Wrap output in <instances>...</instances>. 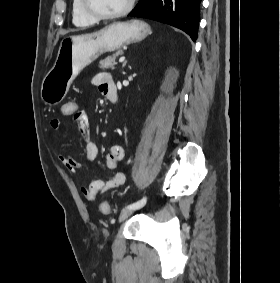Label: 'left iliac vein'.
<instances>
[{"label":"left iliac vein","instance_id":"left-iliac-vein-1","mask_svg":"<svg viewBox=\"0 0 280 283\" xmlns=\"http://www.w3.org/2000/svg\"><path fill=\"white\" fill-rule=\"evenodd\" d=\"M134 210L135 209L130 207H125L124 209H122L119 215V221L123 222L124 220H126L134 212Z\"/></svg>","mask_w":280,"mask_h":283}]
</instances>
